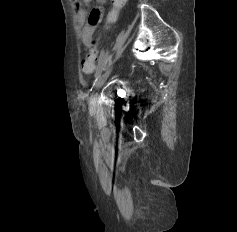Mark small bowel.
<instances>
[{"label": "small bowel", "mask_w": 237, "mask_h": 232, "mask_svg": "<svg viewBox=\"0 0 237 232\" xmlns=\"http://www.w3.org/2000/svg\"><path fill=\"white\" fill-rule=\"evenodd\" d=\"M82 4H88L93 0H79ZM99 6L94 7L88 14L87 11L77 5V20L78 24L82 27L81 39L83 44L88 47L92 39L97 35L96 27L102 22L104 16L103 5L107 0H95Z\"/></svg>", "instance_id": "small-bowel-1"}]
</instances>
